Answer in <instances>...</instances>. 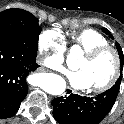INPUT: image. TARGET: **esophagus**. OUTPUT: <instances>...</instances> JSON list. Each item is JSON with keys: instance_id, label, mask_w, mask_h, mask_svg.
Returning <instances> with one entry per match:
<instances>
[{"instance_id": "esophagus-1", "label": "esophagus", "mask_w": 124, "mask_h": 124, "mask_svg": "<svg viewBox=\"0 0 124 124\" xmlns=\"http://www.w3.org/2000/svg\"><path fill=\"white\" fill-rule=\"evenodd\" d=\"M73 92H74V91H73L72 89H70L69 94H67V96L70 95V94L73 93Z\"/></svg>"}]
</instances>
